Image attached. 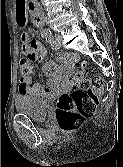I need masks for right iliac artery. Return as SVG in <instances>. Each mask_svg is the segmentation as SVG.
Returning a JSON list of instances; mask_svg holds the SVG:
<instances>
[{"label":"right iliac artery","mask_w":123,"mask_h":167,"mask_svg":"<svg viewBox=\"0 0 123 167\" xmlns=\"http://www.w3.org/2000/svg\"><path fill=\"white\" fill-rule=\"evenodd\" d=\"M49 33V30H45L44 32H42V36L46 35Z\"/></svg>","instance_id":"1"}]
</instances>
